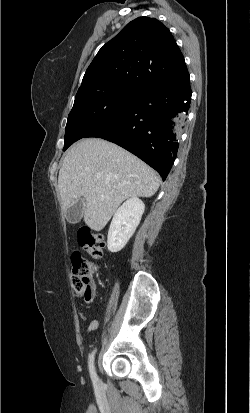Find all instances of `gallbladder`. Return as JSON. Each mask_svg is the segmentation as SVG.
<instances>
[{
	"mask_svg": "<svg viewBox=\"0 0 250 413\" xmlns=\"http://www.w3.org/2000/svg\"><path fill=\"white\" fill-rule=\"evenodd\" d=\"M85 203L82 199L74 202L65 212L66 219L71 224L78 223L84 212Z\"/></svg>",
	"mask_w": 250,
	"mask_h": 413,
	"instance_id": "bac80fb5",
	"label": "gallbladder"
}]
</instances>
